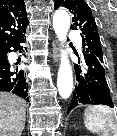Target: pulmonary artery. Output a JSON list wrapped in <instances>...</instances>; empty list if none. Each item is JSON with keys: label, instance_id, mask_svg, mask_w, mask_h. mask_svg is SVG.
I'll list each match as a JSON object with an SVG mask.
<instances>
[{"label": "pulmonary artery", "instance_id": "obj_1", "mask_svg": "<svg viewBox=\"0 0 117 136\" xmlns=\"http://www.w3.org/2000/svg\"><path fill=\"white\" fill-rule=\"evenodd\" d=\"M70 37L74 40L75 44H76L78 47H81L82 41H81V38H80L79 35H76V34L72 33V34L70 35Z\"/></svg>", "mask_w": 117, "mask_h": 136}]
</instances>
